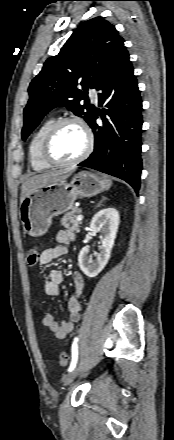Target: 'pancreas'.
I'll return each instance as SVG.
<instances>
[{
  "label": "pancreas",
  "instance_id": "pancreas-1",
  "mask_svg": "<svg viewBox=\"0 0 174 440\" xmlns=\"http://www.w3.org/2000/svg\"><path fill=\"white\" fill-rule=\"evenodd\" d=\"M80 214V209L73 207L71 211L64 214L61 219V224L68 230L73 232H80L81 222L77 221V216Z\"/></svg>",
  "mask_w": 174,
  "mask_h": 440
}]
</instances>
